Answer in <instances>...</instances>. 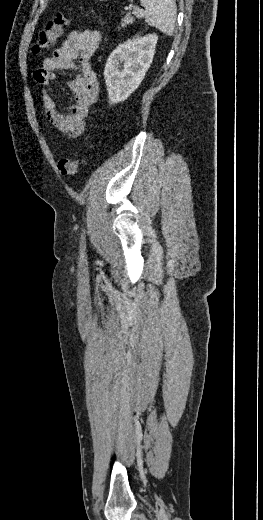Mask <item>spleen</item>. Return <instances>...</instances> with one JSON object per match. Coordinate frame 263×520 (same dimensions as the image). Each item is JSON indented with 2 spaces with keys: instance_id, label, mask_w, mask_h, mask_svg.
Here are the masks:
<instances>
[{
  "instance_id": "3e777b00",
  "label": "spleen",
  "mask_w": 263,
  "mask_h": 520,
  "mask_svg": "<svg viewBox=\"0 0 263 520\" xmlns=\"http://www.w3.org/2000/svg\"><path fill=\"white\" fill-rule=\"evenodd\" d=\"M145 8V21L165 35L171 36L176 25L175 0H140Z\"/></svg>"
}]
</instances>
